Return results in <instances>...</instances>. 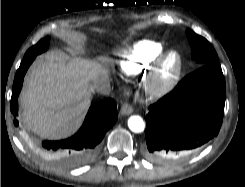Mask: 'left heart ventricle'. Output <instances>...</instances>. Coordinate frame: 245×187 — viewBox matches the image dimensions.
Segmentation results:
<instances>
[{
  "instance_id": "b2bd125f",
  "label": "left heart ventricle",
  "mask_w": 245,
  "mask_h": 187,
  "mask_svg": "<svg viewBox=\"0 0 245 187\" xmlns=\"http://www.w3.org/2000/svg\"><path fill=\"white\" fill-rule=\"evenodd\" d=\"M174 58L173 57H171L168 61H167V66H166V71L168 72V71H170V69H171V67L173 66V64H174Z\"/></svg>"
}]
</instances>
